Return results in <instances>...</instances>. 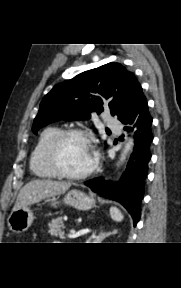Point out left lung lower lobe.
<instances>
[{
  "mask_svg": "<svg viewBox=\"0 0 181 288\" xmlns=\"http://www.w3.org/2000/svg\"><path fill=\"white\" fill-rule=\"evenodd\" d=\"M128 113L129 116H125L121 122L128 124L131 119L130 123H134L137 130L134 136V151L121 180L114 185L104 181L101 177L86 181L85 185L100 196L121 203L131 214L135 226L141 215V200L144 194L148 162L151 158L150 144L153 140L152 117L149 114L147 100L142 88L137 92ZM128 129L133 130V128L125 127V130Z\"/></svg>",
  "mask_w": 181,
  "mask_h": 288,
  "instance_id": "1",
  "label": "left lung lower lobe"
}]
</instances>
